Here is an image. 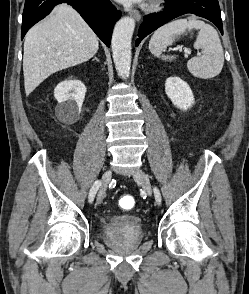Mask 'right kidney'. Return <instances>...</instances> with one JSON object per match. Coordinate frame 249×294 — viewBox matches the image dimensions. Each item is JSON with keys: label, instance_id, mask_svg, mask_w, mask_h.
<instances>
[{"label": "right kidney", "instance_id": "1", "mask_svg": "<svg viewBox=\"0 0 249 294\" xmlns=\"http://www.w3.org/2000/svg\"><path fill=\"white\" fill-rule=\"evenodd\" d=\"M85 93V85L77 79L64 80L55 87L54 97L58 101L56 113L61 121L75 122L78 119Z\"/></svg>", "mask_w": 249, "mask_h": 294}]
</instances>
